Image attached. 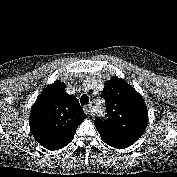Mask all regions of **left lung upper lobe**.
I'll list each match as a JSON object with an SVG mask.
<instances>
[{
	"instance_id": "obj_1",
	"label": "left lung upper lobe",
	"mask_w": 177,
	"mask_h": 177,
	"mask_svg": "<svg viewBox=\"0 0 177 177\" xmlns=\"http://www.w3.org/2000/svg\"><path fill=\"white\" fill-rule=\"evenodd\" d=\"M105 119H96L102 140L114 147L126 148L136 142L148 124V110L140 94L124 79L116 76L105 83Z\"/></svg>"
}]
</instances>
